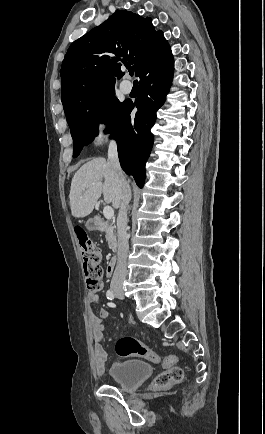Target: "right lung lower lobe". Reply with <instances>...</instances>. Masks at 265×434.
Segmentation results:
<instances>
[{"instance_id": "98d812e1", "label": "right lung lower lobe", "mask_w": 265, "mask_h": 434, "mask_svg": "<svg viewBox=\"0 0 265 434\" xmlns=\"http://www.w3.org/2000/svg\"><path fill=\"white\" fill-rule=\"evenodd\" d=\"M173 57L171 50L147 61L138 75L140 93L131 102L121 124L111 135L119 146L122 169L132 175L139 187H143L145 162L153 145L151 127L156 121V111L163 105L173 77ZM137 108L133 124L130 113Z\"/></svg>"}]
</instances>
